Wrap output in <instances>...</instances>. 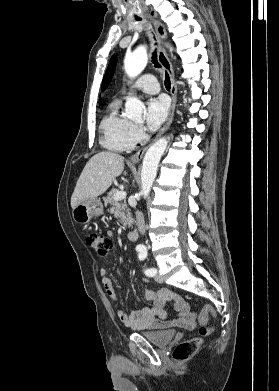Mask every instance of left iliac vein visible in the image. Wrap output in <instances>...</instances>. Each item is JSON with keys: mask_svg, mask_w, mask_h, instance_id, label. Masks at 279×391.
Wrapping results in <instances>:
<instances>
[{"mask_svg": "<svg viewBox=\"0 0 279 391\" xmlns=\"http://www.w3.org/2000/svg\"><path fill=\"white\" fill-rule=\"evenodd\" d=\"M155 281L158 282V283H162L163 282V279L162 277L159 275V274H156L155 277H154Z\"/></svg>", "mask_w": 279, "mask_h": 391, "instance_id": "1", "label": "left iliac vein"}]
</instances>
